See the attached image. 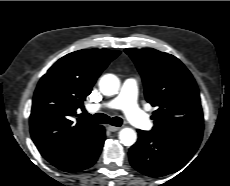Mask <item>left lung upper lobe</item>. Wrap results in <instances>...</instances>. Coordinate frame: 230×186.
<instances>
[{"instance_id":"left-lung-upper-lobe-1","label":"left lung upper lobe","mask_w":230,"mask_h":186,"mask_svg":"<svg viewBox=\"0 0 230 186\" xmlns=\"http://www.w3.org/2000/svg\"><path fill=\"white\" fill-rule=\"evenodd\" d=\"M143 79L145 98L157 110L153 132L179 140L201 142L203 112L197 84L175 56L147 49H125Z\"/></svg>"}]
</instances>
